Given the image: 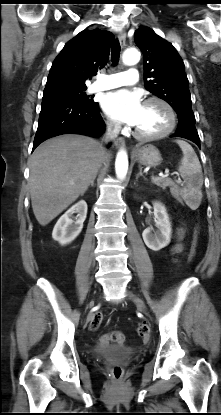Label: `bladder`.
<instances>
[{"label": "bladder", "mask_w": 221, "mask_h": 415, "mask_svg": "<svg viewBox=\"0 0 221 415\" xmlns=\"http://www.w3.org/2000/svg\"><path fill=\"white\" fill-rule=\"evenodd\" d=\"M95 354L107 359L125 361L131 358L135 354V351L127 346L111 345L96 349Z\"/></svg>", "instance_id": "bladder-1"}]
</instances>
